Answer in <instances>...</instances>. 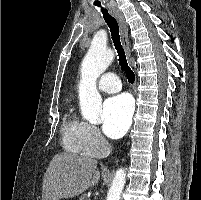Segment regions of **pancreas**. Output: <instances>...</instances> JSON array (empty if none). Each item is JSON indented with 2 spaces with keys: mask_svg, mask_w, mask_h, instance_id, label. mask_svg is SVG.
<instances>
[{
  "mask_svg": "<svg viewBox=\"0 0 201 200\" xmlns=\"http://www.w3.org/2000/svg\"><path fill=\"white\" fill-rule=\"evenodd\" d=\"M79 200H86V198L85 197H81Z\"/></svg>",
  "mask_w": 201,
  "mask_h": 200,
  "instance_id": "cf45deb5",
  "label": "pancreas"
}]
</instances>
